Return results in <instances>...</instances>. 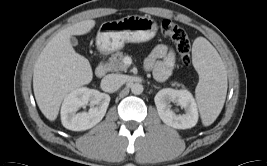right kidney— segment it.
<instances>
[{
	"mask_svg": "<svg viewBox=\"0 0 267 166\" xmlns=\"http://www.w3.org/2000/svg\"><path fill=\"white\" fill-rule=\"evenodd\" d=\"M109 102L108 94L86 87L77 88L71 91L62 103V124L73 131L90 129L102 120ZM88 103L92 105L88 112L76 113L80 107H85Z\"/></svg>",
	"mask_w": 267,
	"mask_h": 166,
	"instance_id": "right-kidney-1",
	"label": "right kidney"
}]
</instances>
